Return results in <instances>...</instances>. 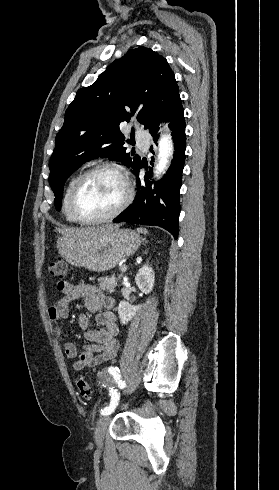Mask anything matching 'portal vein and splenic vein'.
<instances>
[{"mask_svg":"<svg viewBox=\"0 0 279 490\" xmlns=\"http://www.w3.org/2000/svg\"><path fill=\"white\" fill-rule=\"evenodd\" d=\"M121 272H126L127 268L126 266H122V268H120Z\"/></svg>","mask_w":279,"mask_h":490,"instance_id":"portal-vein-and-splenic-vein-1","label":"portal vein and splenic vein"}]
</instances>
